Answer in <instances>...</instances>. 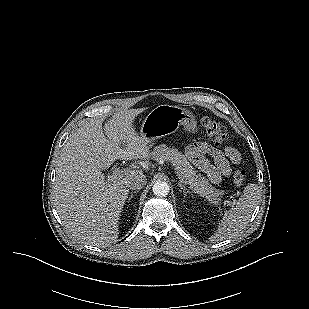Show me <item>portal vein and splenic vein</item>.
<instances>
[{
  "label": "portal vein and splenic vein",
  "mask_w": 309,
  "mask_h": 309,
  "mask_svg": "<svg viewBox=\"0 0 309 309\" xmlns=\"http://www.w3.org/2000/svg\"><path fill=\"white\" fill-rule=\"evenodd\" d=\"M175 173H176V175L178 176V178H179V180L181 181V182H184V179H183V177H182V175L177 171V169L175 168ZM126 170L124 169V170H122L119 166H117V167H114V169H113V175H115V176H121V175H123V173L125 172Z\"/></svg>",
  "instance_id": "1"
}]
</instances>
